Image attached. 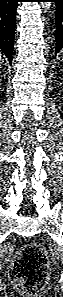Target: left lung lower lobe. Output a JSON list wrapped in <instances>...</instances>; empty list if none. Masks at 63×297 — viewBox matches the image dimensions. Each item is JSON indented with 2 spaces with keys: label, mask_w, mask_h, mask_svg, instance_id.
<instances>
[{
  "label": "left lung lower lobe",
  "mask_w": 63,
  "mask_h": 297,
  "mask_svg": "<svg viewBox=\"0 0 63 297\" xmlns=\"http://www.w3.org/2000/svg\"><path fill=\"white\" fill-rule=\"evenodd\" d=\"M51 2H56V46L55 55L63 49V0H48Z\"/></svg>",
  "instance_id": "0a47b994"
}]
</instances>
